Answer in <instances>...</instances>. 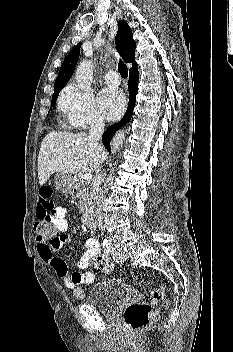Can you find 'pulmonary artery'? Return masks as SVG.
<instances>
[{
    "label": "pulmonary artery",
    "instance_id": "pulmonary-artery-1",
    "mask_svg": "<svg viewBox=\"0 0 233 352\" xmlns=\"http://www.w3.org/2000/svg\"><path fill=\"white\" fill-rule=\"evenodd\" d=\"M105 82L109 86H118L120 83V79L118 74L115 71H109L105 74Z\"/></svg>",
    "mask_w": 233,
    "mask_h": 352
}]
</instances>
